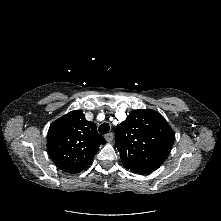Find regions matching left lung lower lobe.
I'll use <instances>...</instances> for the list:
<instances>
[{"mask_svg": "<svg viewBox=\"0 0 221 221\" xmlns=\"http://www.w3.org/2000/svg\"><path fill=\"white\" fill-rule=\"evenodd\" d=\"M149 173H151V172H142V173H140V174H149Z\"/></svg>", "mask_w": 221, "mask_h": 221, "instance_id": "obj_1", "label": "left lung lower lobe"}]
</instances>
